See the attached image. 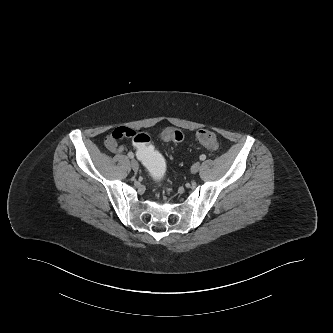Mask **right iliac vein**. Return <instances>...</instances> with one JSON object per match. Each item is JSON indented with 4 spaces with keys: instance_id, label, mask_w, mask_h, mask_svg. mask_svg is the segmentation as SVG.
Here are the masks:
<instances>
[{
    "instance_id": "1",
    "label": "right iliac vein",
    "mask_w": 333,
    "mask_h": 333,
    "mask_svg": "<svg viewBox=\"0 0 333 333\" xmlns=\"http://www.w3.org/2000/svg\"><path fill=\"white\" fill-rule=\"evenodd\" d=\"M131 167H132V169L134 170V171H137L138 169H139V164H138V162L136 161V160H131Z\"/></svg>"
}]
</instances>
